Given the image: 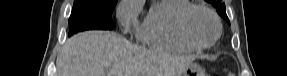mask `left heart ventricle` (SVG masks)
<instances>
[{
  "instance_id": "b2bd125f",
  "label": "left heart ventricle",
  "mask_w": 287,
  "mask_h": 76,
  "mask_svg": "<svg viewBox=\"0 0 287 76\" xmlns=\"http://www.w3.org/2000/svg\"><path fill=\"white\" fill-rule=\"evenodd\" d=\"M188 29L191 36L200 43L210 42L217 31L213 19L202 10H196L191 14Z\"/></svg>"
}]
</instances>
